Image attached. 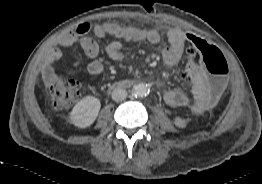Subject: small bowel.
<instances>
[{
    "mask_svg": "<svg viewBox=\"0 0 262 184\" xmlns=\"http://www.w3.org/2000/svg\"><path fill=\"white\" fill-rule=\"evenodd\" d=\"M91 26L87 22L80 23L75 30L61 34L57 39L58 47L48 52L45 58V73L51 75L53 66L62 56L61 48H67L79 41L82 51L91 61L87 65V71L91 75H99L103 71V63L98 59L100 49L98 44L88 36ZM94 34L103 38L112 35L126 42H148L157 44L161 36L157 30L138 27H122L112 23L98 24L93 29ZM191 33L180 29L172 28L166 31L168 45L162 51V58L167 66L176 65L184 53L187 55L186 69L177 71V78L185 84L190 83L194 78V85L191 95H186L179 90H168L164 93V101L172 107H187L195 114H201L214 105L207 96L208 82L204 74V66L197 60L194 46L186 43L187 35ZM124 45L120 41H112L106 46V54L113 61H121L124 57Z\"/></svg>",
    "mask_w": 262,
    "mask_h": 184,
    "instance_id": "c3829d8e",
    "label": "small bowel"
}]
</instances>
